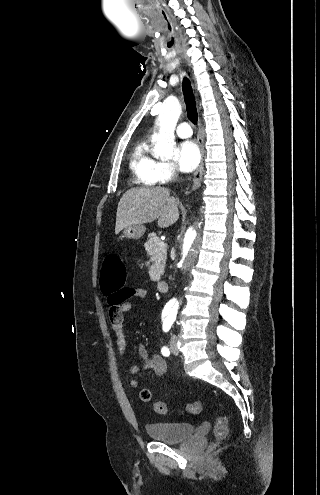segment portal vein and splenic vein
<instances>
[{"label":"portal vein and splenic vein","instance_id":"portal-vein-and-splenic-vein-1","mask_svg":"<svg viewBox=\"0 0 320 495\" xmlns=\"http://www.w3.org/2000/svg\"><path fill=\"white\" fill-rule=\"evenodd\" d=\"M158 245H159L160 247H162V246H164V245H165V243L161 241L160 243H158Z\"/></svg>","mask_w":320,"mask_h":495}]
</instances>
